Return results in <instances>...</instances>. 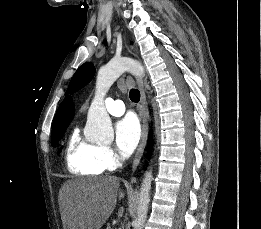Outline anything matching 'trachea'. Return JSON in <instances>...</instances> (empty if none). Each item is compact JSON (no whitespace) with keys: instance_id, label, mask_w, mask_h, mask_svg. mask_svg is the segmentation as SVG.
<instances>
[{"instance_id":"obj_1","label":"trachea","mask_w":261,"mask_h":229,"mask_svg":"<svg viewBox=\"0 0 261 229\" xmlns=\"http://www.w3.org/2000/svg\"><path fill=\"white\" fill-rule=\"evenodd\" d=\"M129 97L132 102H139L140 100V92L137 89H131L129 92Z\"/></svg>"}]
</instances>
